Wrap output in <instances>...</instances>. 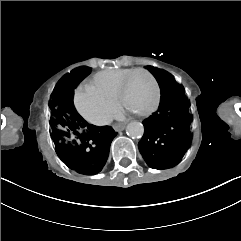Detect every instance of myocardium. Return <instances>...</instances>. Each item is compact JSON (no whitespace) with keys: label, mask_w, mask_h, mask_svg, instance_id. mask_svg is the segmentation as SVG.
Returning <instances> with one entry per match:
<instances>
[{"label":"myocardium","mask_w":241,"mask_h":241,"mask_svg":"<svg viewBox=\"0 0 241 241\" xmlns=\"http://www.w3.org/2000/svg\"><path fill=\"white\" fill-rule=\"evenodd\" d=\"M135 76H141V77L144 76V79L148 80V82H150V84L152 85V88L154 89V96L152 97V101L142 111V117H147V114H151V112H154L156 110L159 99H161V95H163V88H159L161 87V82H158V80H155L154 77H152L147 70L143 68H137V69L129 70L127 71V73L123 74L122 78H120L119 80V83H117L116 85V88H117L116 97L120 102L125 101L126 99V97L124 96L125 88L128 85V82L132 80Z\"/></svg>","instance_id":"obj_1"}]
</instances>
